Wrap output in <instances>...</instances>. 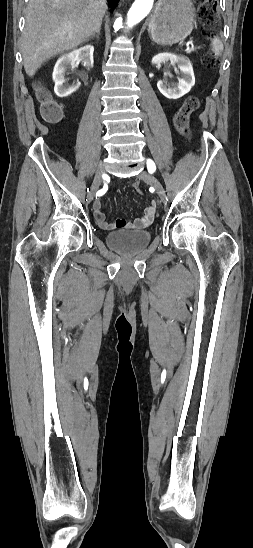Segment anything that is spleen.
<instances>
[{
    "instance_id": "1",
    "label": "spleen",
    "mask_w": 253,
    "mask_h": 548,
    "mask_svg": "<svg viewBox=\"0 0 253 548\" xmlns=\"http://www.w3.org/2000/svg\"><path fill=\"white\" fill-rule=\"evenodd\" d=\"M212 47H213V52L215 53V55H221V53L223 51V43L219 39V37H214L213 38Z\"/></svg>"
}]
</instances>
